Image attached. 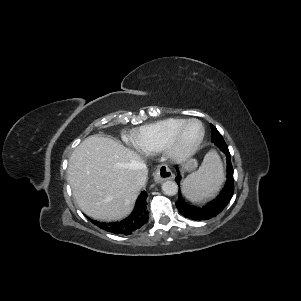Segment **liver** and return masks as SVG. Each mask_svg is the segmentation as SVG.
<instances>
[{
	"mask_svg": "<svg viewBox=\"0 0 301 301\" xmlns=\"http://www.w3.org/2000/svg\"><path fill=\"white\" fill-rule=\"evenodd\" d=\"M141 164L136 152L112 139L93 135L83 140L72 152L67 170L81 210L105 221L127 216L141 188L134 184Z\"/></svg>",
	"mask_w": 301,
	"mask_h": 301,
	"instance_id": "obj_1",
	"label": "liver"
}]
</instances>
